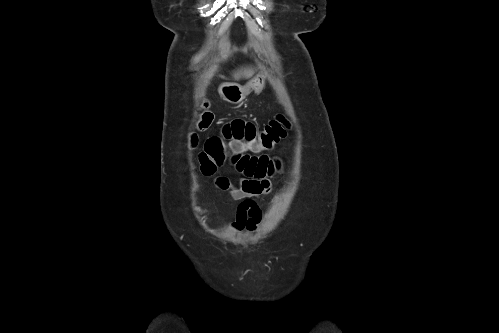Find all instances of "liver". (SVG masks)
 Returning <instances> with one entry per match:
<instances>
[{"instance_id":"6515ba94","label":"liver","mask_w":499,"mask_h":333,"mask_svg":"<svg viewBox=\"0 0 499 333\" xmlns=\"http://www.w3.org/2000/svg\"><path fill=\"white\" fill-rule=\"evenodd\" d=\"M241 75H243V76H245V77L249 78V77H251V76L253 75V71H252V70H245V71H244V72H242V73H237V74H235V76H234V77H235V79H239V78L241 77Z\"/></svg>"}]
</instances>
